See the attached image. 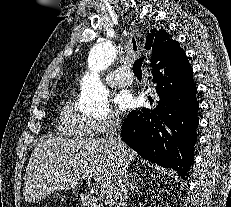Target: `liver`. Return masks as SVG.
I'll return each instance as SVG.
<instances>
[{"label": "liver", "mask_w": 231, "mask_h": 207, "mask_svg": "<svg viewBox=\"0 0 231 207\" xmlns=\"http://www.w3.org/2000/svg\"><path fill=\"white\" fill-rule=\"evenodd\" d=\"M137 153L124 145V157L116 154L103 138L61 137L42 139L34 148L26 168L25 200L44 199L54 191L77 189L88 174L103 188L108 203H114V183L118 170L135 160Z\"/></svg>", "instance_id": "obj_1"}]
</instances>
